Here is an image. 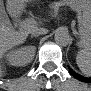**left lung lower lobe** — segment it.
Masks as SVG:
<instances>
[{
    "label": "left lung lower lobe",
    "instance_id": "0a47b994",
    "mask_svg": "<svg viewBox=\"0 0 91 91\" xmlns=\"http://www.w3.org/2000/svg\"><path fill=\"white\" fill-rule=\"evenodd\" d=\"M68 68H69L70 74L73 75L74 77H76V78H78L80 80H82L84 78L81 75L75 73L69 66H68Z\"/></svg>",
    "mask_w": 91,
    "mask_h": 91
}]
</instances>
